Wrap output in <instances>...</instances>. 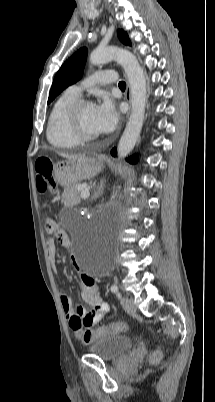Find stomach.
Wrapping results in <instances>:
<instances>
[{
    "instance_id": "stomach-1",
    "label": "stomach",
    "mask_w": 215,
    "mask_h": 402,
    "mask_svg": "<svg viewBox=\"0 0 215 402\" xmlns=\"http://www.w3.org/2000/svg\"><path fill=\"white\" fill-rule=\"evenodd\" d=\"M102 167L101 159L82 155L54 164L53 172L61 186L70 187L96 176Z\"/></svg>"
}]
</instances>
